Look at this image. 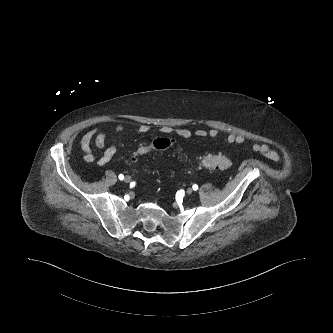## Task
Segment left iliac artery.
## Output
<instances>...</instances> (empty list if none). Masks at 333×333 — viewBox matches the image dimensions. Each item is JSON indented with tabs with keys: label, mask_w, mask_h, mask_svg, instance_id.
<instances>
[{
	"label": "left iliac artery",
	"mask_w": 333,
	"mask_h": 333,
	"mask_svg": "<svg viewBox=\"0 0 333 333\" xmlns=\"http://www.w3.org/2000/svg\"><path fill=\"white\" fill-rule=\"evenodd\" d=\"M192 188H193V190H198V185L197 184H194L193 186H192Z\"/></svg>",
	"instance_id": "obj_1"
}]
</instances>
